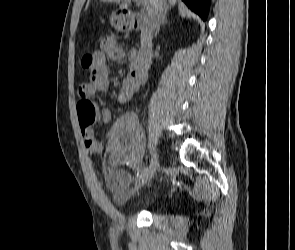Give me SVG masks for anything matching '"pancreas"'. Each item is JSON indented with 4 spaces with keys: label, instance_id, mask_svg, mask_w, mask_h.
Returning <instances> with one entry per match:
<instances>
[{
    "label": "pancreas",
    "instance_id": "cf45deb5",
    "mask_svg": "<svg viewBox=\"0 0 295 250\" xmlns=\"http://www.w3.org/2000/svg\"><path fill=\"white\" fill-rule=\"evenodd\" d=\"M141 47H143V35H141Z\"/></svg>",
    "mask_w": 295,
    "mask_h": 250
}]
</instances>
